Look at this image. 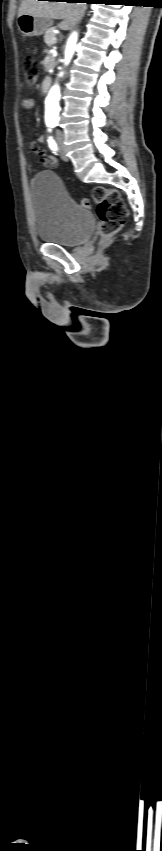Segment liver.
I'll use <instances>...</instances> for the list:
<instances>
[{
    "label": "liver",
    "instance_id": "6515ba94",
    "mask_svg": "<svg viewBox=\"0 0 162 851\" xmlns=\"http://www.w3.org/2000/svg\"><path fill=\"white\" fill-rule=\"evenodd\" d=\"M85 9L84 3L22 0L19 15L30 14L35 17L63 20L60 28L68 30L81 19Z\"/></svg>",
    "mask_w": 162,
    "mask_h": 851
}]
</instances>
